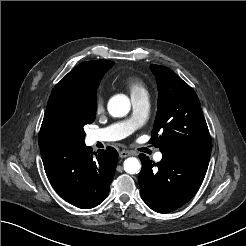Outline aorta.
<instances>
[{"label": "aorta", "instance_id": "762f6f07", "mask_svg": "<svg viewBox=\"0 0 246 246\" xmlns=\"http://www.w3.org/2000/svg\"><path fill=\"white\" fill-rule=\"evenodd\" d=\"M131 108L130 100L125 95H116L109 100L108 111L114 117L126 116ZM124 170L128 174H137L141 169L140 161L135 157L127 158L124 163Z\"/></svg>", "mask_w": 246, "mask_h": 246}]
</instances>
